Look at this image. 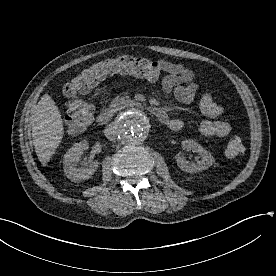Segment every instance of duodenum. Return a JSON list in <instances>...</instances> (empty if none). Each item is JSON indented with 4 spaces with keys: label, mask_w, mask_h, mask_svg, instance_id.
<instances>
[{
    "label": "duodenum",
    "mask_w": 276,
    "mask_h": 276,
    "mask_svg": "<svg viewBox=\"0 0 276 276\" xmlns=\"http://www.w3.org/2000/svg\"><path fill=\"white\" fill-rule=\"evenodd\" d=\"M147 111L153 115L159 122L166 124L168 122V115L167 113L160 107L156 106H148ZM114 111L111 108L103 109L97 115V121L101 125H106L112 121L114 118Z\"/></svg>",
    "instance_id": "obj_1"
}]
</instances>
